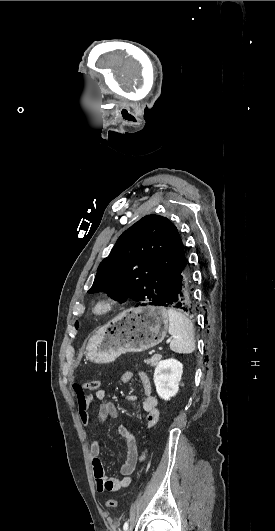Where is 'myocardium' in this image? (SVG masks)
<instances>
[{"label": "myocardium", "mask_w": 275, "mask_h": 531, "mask_svg": "<svg viewBox=\"0 0 275 531\" xmlns=\"http://www.w3.org/2000/svg\"><path fill=\"white\" fill-rule=\"evenodd\" d=\"M115 306L116 300L111 296H106L94 301L89 308V313L94 318H102L110 314Z\"/></svg>", "instance_id": "myocardium-1"}]
</instances>
